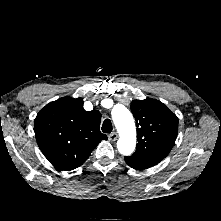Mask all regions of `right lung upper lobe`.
<instances>
[{
	"mask_svg": "<svg viewBox=\"0 0 221 221\" xmlns=\"http://www.w3.org/2000/svg\"><path fill=\"white\" fill-rule=\"evenodd\" d=\"M100 121V112L84 110L82 98L63 97L37 114L36 140L53 166L70 171L82 165L98 143L107 139L100 131Z\"/></svg>",
	"mask_w": 221,
	"mask_h": 221,
	"instance_id": "right-lung-upper-lobe-1",
	"label": "right lung upper lobe"
}]
</instances>
